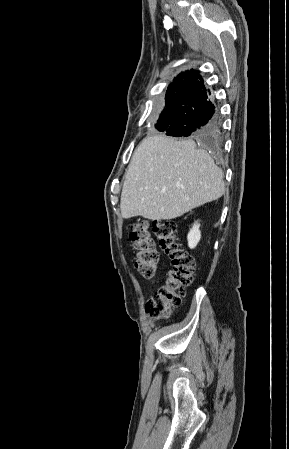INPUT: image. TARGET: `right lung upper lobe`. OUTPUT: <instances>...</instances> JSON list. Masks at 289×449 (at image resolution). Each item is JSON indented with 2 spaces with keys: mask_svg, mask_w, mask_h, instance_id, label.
Wrapping results in <instances>:
<instances>
[{
  "mask_svg": "<svg viewBox=\"0 0 289 449\" xmlns=\"http://www.w3.org/2000/svg\"><path fill=\"white\" fill-rule=\"evenodd\" d=\"M183 76H192V77H194V78H200V79H202V77H201V75H199L198 74V71H196V70H190V71H187V72H185V73H181V74H179L177 77H176V80H178L179 78H181V77H183ZM168 96V95H167Z\"/></svg>",
  "mask_w": 289,
  "mask_h": 449,
  "instance_id": "obj_1",
  "label": "right lung upper lobe"
}]
</instances>
